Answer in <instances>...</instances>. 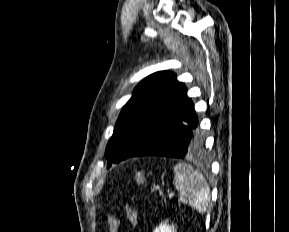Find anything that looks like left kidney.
I'll list each match as a JSON object with an SVG mask.
<instances>
[{
	"label": "left kidney",
	"instance_id": "5707ae66",
	"mask_svg": "<svg viewBox=\"0 0 289 232\" xmlns=\"http://www.w3.org/2000/svg\"><path fill=\"white\" fill-rule=\"evenodd\" d=\"M153 232H176L174 225L167 224V221L161 223L158 227L155 228Z\"/></svg>",
	"mask_w": 289,
	"mask_h": 232
}]
</instances>
